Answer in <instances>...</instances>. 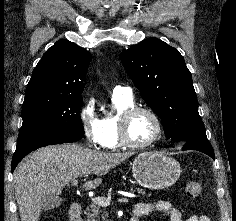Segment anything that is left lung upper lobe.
<instances>
[{
	"label": "left lung upper lobe",
	"mask_w": 236,
	"mask_h": 221,
	"mask_svg": "<svg viewBox=\"0 0 236 221\" xmlns=\"http://www.w3.org/2000/svg\"><path fill=\"white\" fill-rule=\"evenodd\" d=\"M120 59L168 138L179 143L207 139L192 76L177 49L152 37L123 51Z\"/></svg>",
	"instance_id": "1"
}]
</instances>
